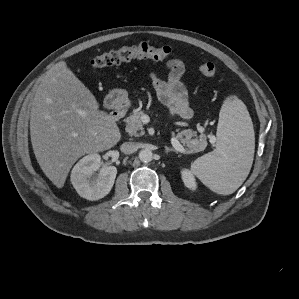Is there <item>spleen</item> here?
<instances>
[{"instance_id":"1","label":"spleen","mask_w":299,"mask_h":299,"mask_svg":"<svg viewBox=\"0 0 299 299\" xmlns=\"http://www.w3.org/2000/svg\"><path fill=\"white\" fill-rule=\"evenodd\" d=\"M254 149L249 112L241 100L229 98L220 109L215 150L196 159L191 172L213 192L232 194L250 172Z\"/></svg>"}]
</instances>
